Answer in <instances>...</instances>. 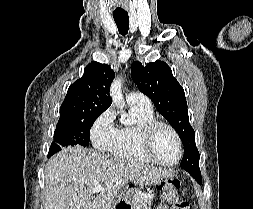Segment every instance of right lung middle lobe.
Here are the masks:
<instances>
[{
    "mask_svg": "<svg viewBox=\"0 0 253 209\" xmlns=\"http://www.w3.org/2000/svg\"><path fill=\"white\" fill-rule=\"evenodd\" d=\"M100 114L101 112L88 113L58 122L48 157L59 152L64 146L76 144L87 146L90 140V128Z\"/></svg>",
    "mask_w": 253,
    "mask_h": 209,
    "instance_id": "dd1d6c3e",
    "label": "right lung middle lobe"
}]
</instances>
